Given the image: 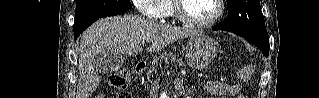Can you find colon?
I'll return each instance as SVG.
<instances>
[{"mask_svg":"<svg viewBox=\"0 0 319 98\" xmlns=\"http://www.w3.org/2000/svg\"><path fill=\"white\" fill-rule=\"evenodd\" d=\"M240 77H244L245 73L240 72L239 73ZM129 83V74L126 70L120 71L118 73H115L109 77V84L116 89L119 90H124ZM96 98H102V96L98 95ZM118 98H130V94L122 91L119 95Z\"/></svg>","mask_w":319,"mask_h":98,"instance_id":"1","label":"colon"}]
</instances>
